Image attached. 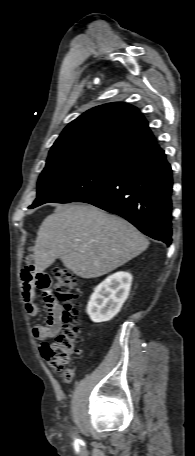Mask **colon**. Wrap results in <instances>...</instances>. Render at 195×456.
Listing matches in <instances>:
<instances>
[{
    "mask_svg": "<svg viewBox=\"0 0 195 456\" xmlns=\"http://www.w3.org/2000/svg\"><path fill=\"white\" fill-rule=\"evenodd\" d=\"M53 275L59 300L62 329L53 341L42 343L40 351L50 367L60 372L64 380L69 382L73 379V371L67 368V365L77 352L80 343L77 327L79 315L78 279L72 271L63 267H55Z\"/></svg>",
    "mask_w": 195,
    "mask_h": 456,
    "instance_id": "colon-1",
    "label": "colon"
}]
</instances>
